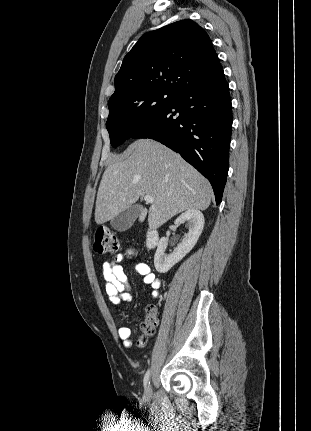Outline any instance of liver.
I'll list each match as a JSON object with an SVG mask.
<instances>
[{
  "label": "liver",
  "instance_id": "1",
  "mask_svg": "<svg viewBox=\"0 0 311 431\" xmlns=\"http://www.w3.org/2000/svg\"><path fill=\"white\" fill-rule=\"evenodd\" d=\"M142 196L154 198L143 208L138 221L148 216L150 229H157L185 210H207L212 188L179 154L154 140H136L122 156H115L99 184L95 221L98 225L131 208Z\"/></svg>",
  "mask_w": 311,
  "mask_h": 431
}]
</instances>
